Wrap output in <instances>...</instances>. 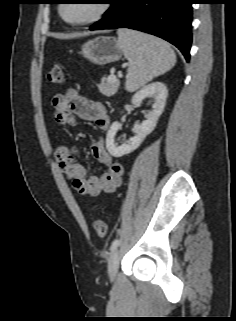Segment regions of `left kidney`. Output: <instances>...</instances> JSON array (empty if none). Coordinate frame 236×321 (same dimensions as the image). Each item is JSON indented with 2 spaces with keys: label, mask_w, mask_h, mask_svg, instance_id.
Masks as SVG:
<instances>
[{
  "label": "left kidney",
  "mask_w": 236,
  "mask_h": 321,
  "mask_svg": "<svg viewBox=\"0 0 236 321\" xmlns=\"http://www.w3.org/2000/svg\"><path fill=\"white\" fill-rule=\"evenodd\" d=\"M167 95L168 91L165 84L153 82L143 87L132 97L131 103L133 105L140 104L146 97H153L154 104L152 105V110L146 115V120L141 124H135V136L119 146L115 143V136L120 129L121 124L119 122H114L111 125L106 137V148L112 156L121 157L131 153L140 146L145 137L156 127L157 121L164 110Z\"/></svg>",
  "instance_id": "5707ae66"
}]
</instances>
